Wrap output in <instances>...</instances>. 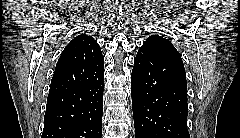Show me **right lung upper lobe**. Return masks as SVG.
<instances>
[{"label":"right lung upper lobe","instance_id":"right-lung-upper-lobe-1","mask_svg":"<svg viewBox=\"0 0 240 138\" xmlns=\"http://www.w3.org/2000/svg\"><path fill=\"white\" fill-rule=\"evenodd\" d=\"M104 75V57L93 37L81 34L63 50L51 80L48 97L95 83Z\"/></svg>","mask_w":240,"mask_h":138}]
</instances>
